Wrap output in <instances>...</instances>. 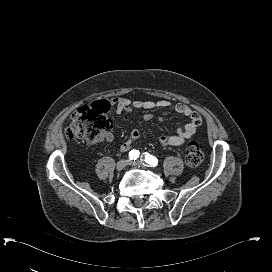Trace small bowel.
I'll list each match as a JSON object with an SVG mask.
<instances>
[{
  "label": "small bowel",
  "mask_w": 272,
  "mask_h": 272,
  "mask_svg": "<svg viewBox=\"0 0 272 272\" xmlns=\"http://www.w3.org/2000/svg\"><path fill=\"white\" fill-rule=\"evenodd\" d=\"M112 103L116 107V113H128L132 108L136 109H168L171 108V103L168 101H130L125 97H114L111 99ZM172 109L183 116L189 117L190 121L187 123L184 128L179 129L175 135L166 136L163 135L160 137L159 141L162 146L178 147L185 143L187 139L192 137L196 130L201 125L200 116L195 113L189 106L185 104H178L172 107ZM152 115L149 112L142 114L144 120H149ZM140 137V132L138 130H133L129 139L121 145L122 151H129L133 148L134 142ZM114 140L113 133L110 130L104 132L102 136V141L106 143H112Z\"/></svg>",
  "instance_id": "1"
}]
</instances>
